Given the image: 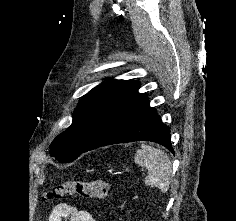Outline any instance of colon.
<instances>
[{"mask_svg": "<svg viewBox=\"0 0 236 221\" xmlns=\"http://www.w3.org/2000/svg\"><path fill=\"white\" fill-rule=\"evenodd\" d=\"M106 199L110 195L109 185L104 181H84L69 179L44 193L45 200L60 199L66 196Z\"/></svg>", "mask_w": 236, "mask_h": 221, "instance_id": "colon-1", "label": "colon"}]
</instances>
